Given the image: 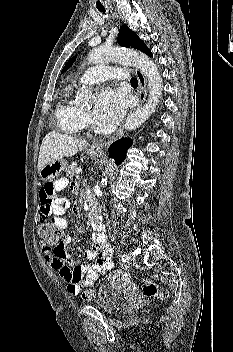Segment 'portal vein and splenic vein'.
<instances>
[{"label": "portal vein and splenic vein", "instance_id": "obj_1", "mask_svg": "<svg viewBox=\"0 0 233 352\" xmlns=\"http://www.w3.org/2000/svg\"><path fill=\"white\" fill-rule=\"evenodd\" d=\"M80 172H81V169L78 168V169L76 170V173L79 174Z\"/></svg>", "mask_w": 233, "mask_h": 352}]
</instances>
